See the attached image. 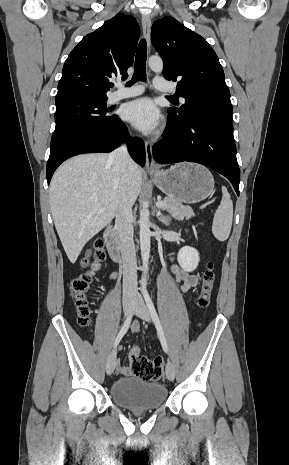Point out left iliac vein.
<instances>
[{"mask_svg":"<svg viewBox=\"0 0 289 465\" xmlns=\"http://www.w3.org/2000/svg\"><path fill=\"white\" fill-rule=\"evenodd\" d=\"M135 314L139 318H141V319H143V320H145L147 322L151 321L149 310L146 307L143 299L140 296L136 300ZM165 372H166V376H167L168 380L173 381L174 378H175V367H174L173 363L170 360L167 361L166 371Z\"/></svg>","mask_w":289,"mask_h":465,"instance_id":"4c4485c4","label":"left iliac vein"}]
</instances>
